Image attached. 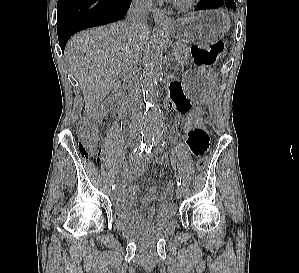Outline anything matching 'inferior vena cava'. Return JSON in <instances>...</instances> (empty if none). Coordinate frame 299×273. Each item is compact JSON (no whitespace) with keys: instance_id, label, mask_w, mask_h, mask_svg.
Listing matches in <instances>:
<instances>
[{"instance_id":"obj_1","label":"inferior vena cava","mask_w":299,"mask_h":273,"mask_svg":"<svg viewBox=\"0 0 299 273\" xmlns=\"http://www.w3.org/2000/svg\"><path fill=\"white\" fill-rule=\"evenodd\" d=\"M151 7L150 0H133L130 9L128 10L126 22L132 33L147 28V18ZM139 60V53L137 50H132L130 54V61L125 71L127 73L128 91L131 94V108L132 114L140 116V95L138 93L139 81L137 64Z\"/></svg>"}]
</instances>
